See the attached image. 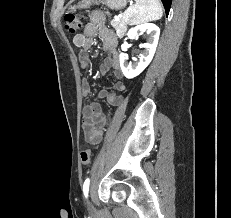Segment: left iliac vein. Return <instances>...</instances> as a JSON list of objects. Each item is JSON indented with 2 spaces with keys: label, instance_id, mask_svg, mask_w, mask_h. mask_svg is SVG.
Instances as JSON below:
<instances>
[{
  "label": "left iliac vein",
  "instance_id": "obj_1",
  "mask_svg": "<svg viewBox=\"0 0 231 218\" xmlns=\"http://www.w3.org/2000/svg\"><path fill=\"white\" fill-rule=\"evenodd\" d=\"M87 204H88V210H89L90 212H93V211H94V206H93V204H92V202H91V200H90V197H89V199H88V201H87Z\"/></svg>",
  "mask_w": 231,
  "mask_h": 218
}]
</instances>
